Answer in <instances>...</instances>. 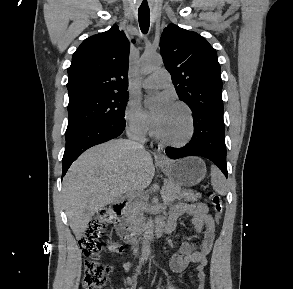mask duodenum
<instances>
[{"label": "duodenum", "mask_w": 293, "mask_h": 289, "mask_svg": "<svg viewBox=\"0 0 293 289\" xmlns=\"http://www.w3.org/2000/svg\"><path fill=\"white\" fill-rule=\"evenodd\" d=\"M127 206L128 201L125 200L115 205L113 209L115 228L125 243L136 245L147 239L149 233L160 236L167 230V223L161 219L156 220L153 230L148 227L140 228L127 215Z\"/></svg>", "instance_id": "410a0bca"}]
</instances>
